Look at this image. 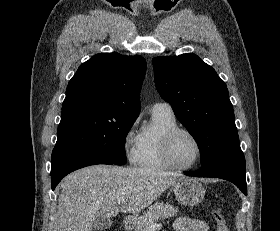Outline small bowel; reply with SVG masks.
<instances>
[{"label":"small bowel","instance_id":"small-bowel-1","mask_svg":"<svg viewBox=\"0 0 280 231\" xmlns=\"http://www.w3.org/2000/svg\"><path fill=\"white\" fill-rule=\"evenodd\" d=\"M174 231H208V225L204 220L181 216L173 225Z\"/></svg>","mask_w":280,"mask_h":231}]
</instances>
